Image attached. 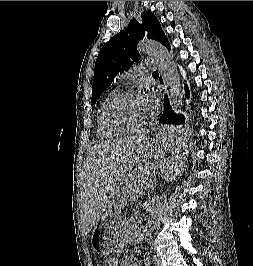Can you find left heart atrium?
Masks as SVG:
<instances>
[{
	"label": "left heart atrium",
	"mask_w": 253,
	"mask_h": 266,
	"mask_svg": "<svg viewBox=\"0 0 253 266\" xmlns=\"http://www.w3.org/2000/svg\"><path fill=\"white\" fill-rule=\"evenodd\" d=\"M141 97L147 109V113L148 114L153 113L158 105V98L156 94L151 90L147 89L143 92Z\"/></svg>",
	"instance_id": "1"
}]
</instances>
